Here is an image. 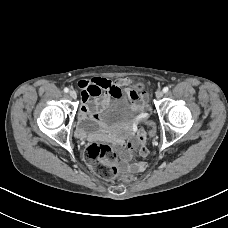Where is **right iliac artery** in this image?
Masks as SVG:
<instances>
[{"mask_svg": "<svg viewBox=\"0 0 228 228\" xmlns=\"http://www.w3.org/2000/svg\"><path fill=\"white\" fill-rule=\"evenodd\" d=\"M64 92L65 93H68L69 92V89L68 88H64Z\"/></svg>", "mask_w": 228, "mask_h": 228, "instance_id": "82829eb1", "label": "right iliac artery"}]
</instances>
